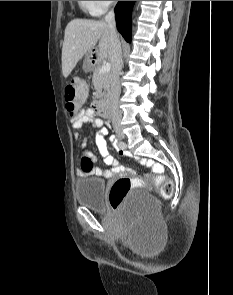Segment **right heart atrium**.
Instances as JSON below:
<instances>
[{
	"label": "right heart atrium",
	"mask_w": 233,
	"mask_h": 295,
	"mask_svg": "<svg viewBox=\"0 0 233 295\" xmlns=\"http://www.w3.org/2000/svg\"><path fill=\"white\" fill-rule=\"evenodd\" d=\"M96 14L103 13L114 1H90Z\"/></svg>",
	"instance_id": "d8ad5b80"
}]
</instances>
